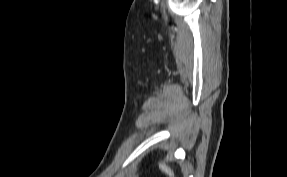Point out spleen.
Instances as JSON below:
<instances>
[{"label": "spleen", "mask_w": 287, "mask_h": 177, "mask_svg": "<svg viewBox=\"0 0 287 177\" xmlns=\"http://www.w3.org/2000/svg\"><path fill=\"white\" fill-rule=\"evenodd\" d=\"M159 168L161 169L162 172L167 174L169 177H174V172L171 170L170 167L166 166L165 164H160Z\"/></svg>", "instance_id": "3e777b00"}]
</instances>
